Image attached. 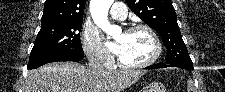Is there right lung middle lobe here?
I'll return each mask as SVG.
<instances>
[{"mask_svg": "<svg viewBox=\"0 0 225 92\" xmlns=\"http://www.w3.org/2000/svg\"><path fill=\"white\" fill-rule=\"evenodd\" d=\"M83 22L44 23L37 34L30 58L65 50H82Z\"/></svg>", "mask_w": 225, "mask_h": 92, "instance_id": "1", "label": "right lung middle lobe"}]
</instances>
